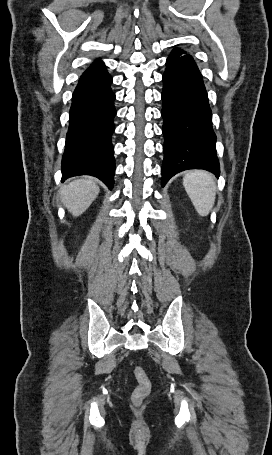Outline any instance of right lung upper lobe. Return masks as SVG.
<instances>
[{
  "instance_id": "1",
  "label": "right lung upper lobe",
  "mask_w": 272,
  "mask_h": 455,
  "mask_svg": "<svg viewBox=\"0 0 272 455\" xmlns=\"http://www.w3.org/2000/svg\"><path fill=\"white\" fill-rule=\"evenodd\" d=\"M106 71L105 65L101 60H96L93 65H91L83 74L81 77H86V76H93L96 74H100L102 72Z\"/></svg>"
}]
</instances>
